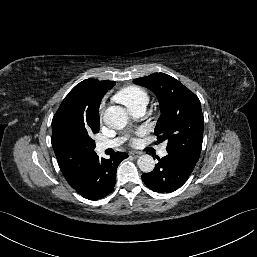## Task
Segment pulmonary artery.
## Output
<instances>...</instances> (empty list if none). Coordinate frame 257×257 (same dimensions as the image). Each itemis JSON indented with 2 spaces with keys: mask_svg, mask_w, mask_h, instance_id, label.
<instances>
[{
  "mask_svg": "<svg viewBox=\"0 0 257 257\" xmlns=\"http://www.w3.org/2000/svg\"><path fill=\"white\" fill-rule=\"evenodd\" d=\"M145 109H146L145 106H138V107L130 109L129 112L134 117H141L142 115H144ZM122 141H123L122 138H116V139H112V140L98 142L96 144V151L103 152L104 150L109 149V148H116L122 143ZM166 154H167L166 148H162L159 152V155L161 157L166 156Z\"/></svg>",
  "mask_w": 257,
  "mask_h": 257,
  "instance_id": "e3ab8cb5",
  "label": "pulmonary artery"
}]
</instances>
